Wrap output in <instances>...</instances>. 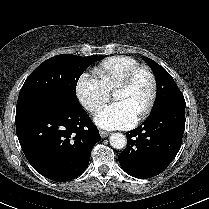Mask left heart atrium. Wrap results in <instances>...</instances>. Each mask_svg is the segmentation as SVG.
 Wrapping results in <instances>:
<instances>
[{
	"instance_id": "obj_1",
	"label": "left heart atrium",
	"mask_w": 209,
	"mask_h": 209,
	"mask_svg": "<svg viewBox=\"0 0 209 209\" xmlns=\"http://www.w3.org/2000/svg\"><path fill=\"white\" fill-rule=\"evenodd\" d=\"M94 120L103 129H125L136 123L137 114L124 101H116L102 109Z\"/></svg>"
}]
</instances>
